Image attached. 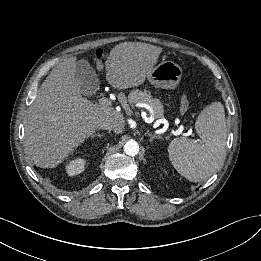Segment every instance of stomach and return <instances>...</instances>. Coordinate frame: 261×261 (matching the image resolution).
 <instances>
[{
  "instance_id": "obj_1",
  "label": "stomach",
  "mask_w": 261,
  "mask_h": 261,
  "mask_svg": "<svg viewBox=\"0 0 261 261\" xmlns=\"http://www.w3.org/2000/svg\"><path fill=\"white\" fill-rule=\"evenodd\" d=\"M182 68L170 60L162 61L147 75V80L157 88L175 89L181 80Z\"/></svg>"
}]
</instances>
